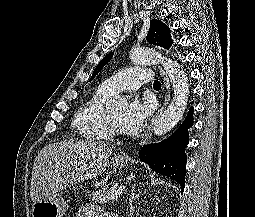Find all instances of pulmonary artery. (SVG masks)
<instances>
[{
	"label": "pulmonary artery",
	"mask_w": 255,
	"mask_h": 217,
	"mask_svg": "<svg viewBox=\"0 0 255 217\" xmlns=\"http://www.w3.org/2000/svg\"><path fill=\"white\" fill-rule=\"evenodd\" d=\"M152 79L149 69L132 67L118 72L102 83V87L111 94L119 91H132Z\"/></svg>",
	"instance_id": "pulmonary-artery-1"
}]
</instances>
